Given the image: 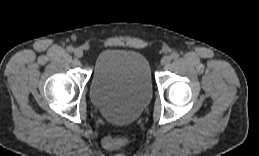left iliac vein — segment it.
<instances>
[{
    "label": "left iliac vein",
    "instance_id": "left-iliac-vein-1",
    "mask_svg": "<svg viewBox=\"0 0 259 156\" xmlns=\"http://www.w3.org/2000/svg\"><path fill=\"white\" fill-rule=\"evenodd\" d=\"M171 56L166 55L161 59V65L166 66L171 62Z\"/></svg>",
    "mask_w": 259,
    "mask_h": 156
}]
</instances>
